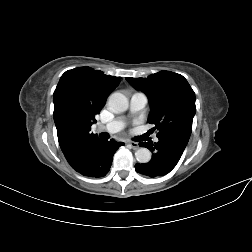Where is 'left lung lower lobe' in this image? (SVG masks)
<instances>
[{"label": "left lung lower lobe", "instance_id": "left-lung-lower-lobe-1", "mask_svg": "<svg viewBox=\"0 0 252 252\" xmlns=\"http://www.w3.org/2000/svg\"><path fill=\"white\" fill-rule=\"evenodd\" d=\"M158 139L159 141L154 144L151 142L139 144L152 152V159L148 163L135 164L138 173L151 178L164 176L172 171L188 143L170 136L158 137Z\"/></svg>", "mask_w": 252, "mask_h": 252}]
</instances>
